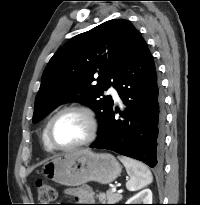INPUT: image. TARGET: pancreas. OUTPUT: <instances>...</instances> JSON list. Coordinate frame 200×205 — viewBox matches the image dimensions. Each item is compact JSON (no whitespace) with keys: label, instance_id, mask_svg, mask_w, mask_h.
<instances>
[{"label":"pancreas","instance_id":"1","mask_svg":"<svg viewBox=\"0 0 200 205\" xmlns=\"http://www.w3.org/2000/svg\"><path fill=\"white\" fill-rule=\"evenodd\" d=\"M97 197L103 204H116L122 199L121 194L114 193L112 190H108L106 193H99Z\"/></svg>","mask_w":200,"mask_h":205}]
</instances>
